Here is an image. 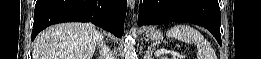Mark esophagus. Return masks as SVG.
<instances>
[{
    "mask_svg": "<svg viewBox=\"0 0 261 59\" xmlns=\"http://www.w3.org/2000/svg\"><path fill=\"white\" fill-rule=\"evenodd\" d=\"M128 7H129L131 10H134L135 0H128ZM133 19H134V20L136 19L135 14L133 15Z\"/></svg>",
    "mask_w": 261,
    "mask_h": 59,
    "instance_id": "esophagus-1",
    "label": "esophagus"
}]
</instances>
